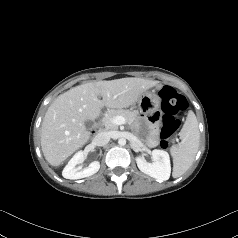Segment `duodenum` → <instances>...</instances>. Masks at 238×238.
I'll use <instances>...</instances> for the list:
<instances>
[{"label":"duodenum","instance_id":"410a0bca","mask_svg":"<svg viewBox=\"0 0 238 238\" xmlns=\"http://www.w3.org/2000/svg\"><path fill=\"white\" fill-rule=\"evenodd\" d=\"M94 130H95V131L97 130V125L95 126Z\"/></svg>","mask_w":238,"mask_h":238}]
</instances>
